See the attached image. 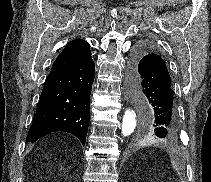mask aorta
Here are the masks:
<instances>
[{"instance_id": "1", "label": "aorta", "mask_w": 211, "mask_h": 182, "mask_svg": "<svg viewBox=\"0 0 211 182\" xmlns=\"http://www.w3.org/2000/svg\"><path fill=\"white\" fill-rule=\"evenodd\" d=\"M136 125H137L136 113L131 109H126L123 116L122 135L123 136L131 135L134 132Z\"/></svg>"}]
</instances>
